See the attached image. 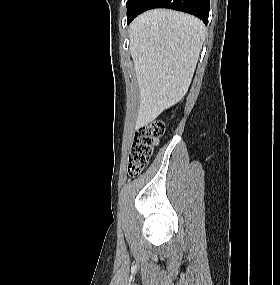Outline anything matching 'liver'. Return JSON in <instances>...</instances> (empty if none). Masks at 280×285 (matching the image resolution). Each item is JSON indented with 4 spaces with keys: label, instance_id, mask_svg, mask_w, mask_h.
I'll use <instances>...</instances> for the list:
<instances>
[{
    "label": "liver",
    "instance_id": "6515ba94",
    "mask_svg": "<svg viewBox=\"0 0 280 285\" xmlns=\"http://www.w3.org/2000/svg\"><path fill=\"white\" fill-rule=\"evenodd\" d=\"M205 30L196 17L168 9L147 11L132 22L130 52L139 87L137 128L187 93Z\"/></svg>",
    "mask_w": 280,
    "mask_h": 285
}]
</instances>
